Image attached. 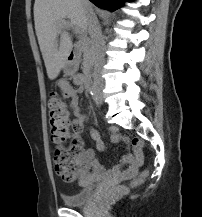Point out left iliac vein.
Here are the masks:
<instances>
[{
  "instance_id": "left-iliac-vein-1",
  "label": "left iliac vein",
  "mask_w": 202,
  "mask_h": 217,
  "mask_svg": "<svg viewBox=\"0 0 202 217\" xmlns=\"http://www.w3.org/2000/svg\"><path fill=\"white\" fill-rule=\"evenodd\" d=\"M98 103H101V101H100V100H98Z\"/></svg>"
}]
</instances>
